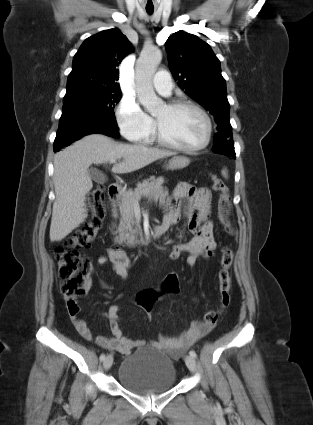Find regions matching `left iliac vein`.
<instances>
[{
    "mask_svg": "<svg viewBox=\"0 0 313 425\" xmlns=\"http://www.w3.org/2000/svg\"><path fill=\"white\" fill-rule=\"evenodd\" d=\"M185 363L190 371L195 372L196 371V360L192 356H186L185 357Z\"/></svg>",
    "mask_w": 313,
    "mask_h": 425,
    "instance_id": "4c4485c4",
    "label": "left iliac vein"
}]
</instances>
